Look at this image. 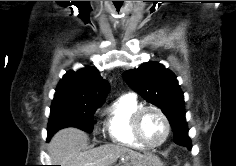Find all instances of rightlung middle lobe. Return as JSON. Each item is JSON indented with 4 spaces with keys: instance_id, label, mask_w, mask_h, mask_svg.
<instances>
[{
    "instance_id": "1",
    "label": "right lung middle lobe",
    "mask_w": 236,
    "mask_h": 166,
    "mask_svg": "<svg viewBox=\"0 0 236 166\" xmlns=\"http://www.w3.org/2000/svg\"><path fill=\"white\" fill-rule=\"evenodd\" d=\"M100 105L74 101L52 102L48 122V139L59 129L77 127L88 133L93 131V114Z\"/></svg>"
}]
</instances>
